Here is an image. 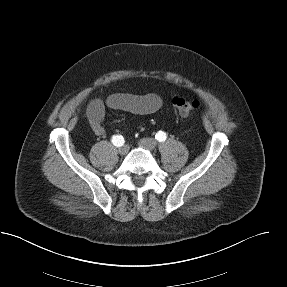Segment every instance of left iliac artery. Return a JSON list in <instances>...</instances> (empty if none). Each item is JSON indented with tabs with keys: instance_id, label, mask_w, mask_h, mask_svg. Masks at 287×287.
I'll return each instance as SVG.
<instances>
[{
	"instance_id": "left-iliac-artery-1",
	"label": "left iliac artery",
	"mask_w": 287,
	"mask_h": 287,
	"mask_svg": "<svg viewBox=\"0 0 287 287\" xmlns=\"http://www.w3.org/2000/svg\"><path fill=\"white\" fill-rule=\"evenodd\" d=\"M155 138L159 141V142H164L167 138L166 133L163 131H158V133H156Z\"/></svg>"
}]
</instances>
